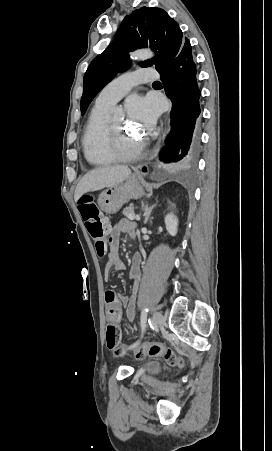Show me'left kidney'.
I'll return each mask as SVG.
<instances>
[{
	"mask_svg": "<svg viewBox=\"0 0 272 451\" xmlns=\"http://www.w3.org/2000/svg\"><path fill=\"white\" fill-rule=\"evenodd\" d=\"M165 226L167 231H169L170 235H176L177 233V227H178V220L174 214H167L165 216Z\"/></svg>",
	"mask_w": 272,
	"mask_h": 451,
	"instance_id": "obj_1",
	"label": "left kidney"
}]
</instances>
